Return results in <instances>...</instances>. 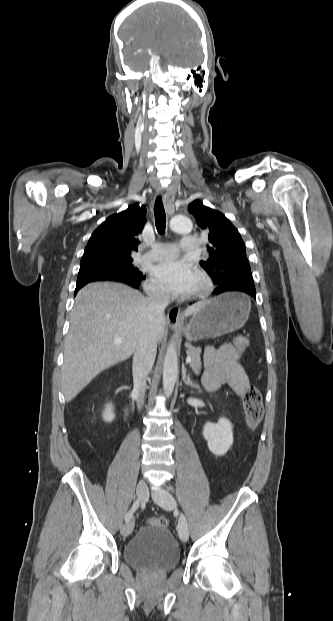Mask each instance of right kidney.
Wrapping results in <instances>:
<instances>
[{"mask_svg":"<svg viewBox=\"0 0 333 621\" xmlns=\"http://www.w3.org/2000/svg\"><path fill=\"white\" fill-rule=\"evenodd\" d=\"M102 416H103V420L105 422H112L114 420L115 414L113 412V405L112 404L107 405V407L104 410Z\"/></svg>","mask_w":333,"mask_h":621,"instance_id":"obj_1","label":"right kidney"}]
</instances>
